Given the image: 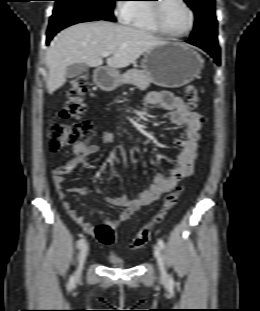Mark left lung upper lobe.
Here are the masks:
<instances>
[{
  "mask_svg": "<svg viewBox=\"0 0 260 311\" xmlns=\"http://www.w3.org/2000/svg\"><path fill=\"white\" fill-rule=\"evenodd\" d=\"M195 13L190 40L218 45L214 0H184Z\"/></svg>",
  "mask_w": 260,
  "mask_h": 311,
  "instance_id": "obj_1",
  "label": "left lung upper lobe"
}]
</instances>
